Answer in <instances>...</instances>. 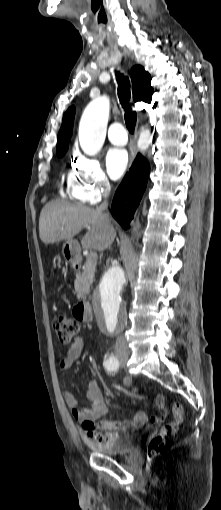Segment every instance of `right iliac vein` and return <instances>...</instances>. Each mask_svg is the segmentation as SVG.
Masks as SVG:
<instances>
[{"instance_id": "63e3f726", "label": "right iliac vein", "mask_w": 221, "mask_h": 510, "mask_svg": "<svg viewBox=\"0 0 221 510\" xmlns=\"http://www.w3.org/2000/svg\"><path fill=\"white\" fill-rule=\"evenodd\" d=\"M126 357H127V355H126V354H123V355H120V356H119V359H120V360H123V359H125Z\"/></svg>"}]
</instances>
